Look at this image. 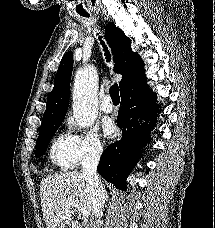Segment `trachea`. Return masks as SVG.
<instances>
[{
	"mask_svg": "<svg viewBox=\"0 0 215 228\" xmlns=\"http://www.w3.org/2000/svg\"><path fill=\"white\" fill-rule=\"evenodd\" d=\"M84 17H88L86 14H81ZM106 58L109 61L110 60V55L108 52H106ZM110 97L113 101V103H119L120 102V96H119V87L117 83H114L110 89H109Z\"/></svg>",
	"mask_w": 215,
	"mask_h": 228,
	"instance_id": "1",
	"label": "trachea"
}]
</instances>
